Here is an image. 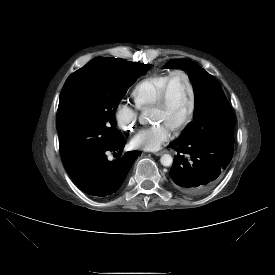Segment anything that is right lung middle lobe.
Wrapping results in <instances>:
<instances>
[{"label":"right lung middle lobe","instance_id":"obj_1","mask_svg":"<svg viewBox=\"0 0 275 275\" xmlns=\"http://www.w3.org/2000/svg\"><path fill=\"white\" fill-rule=\"evenodd\" d=\"M149 65L97 58L71 74L59 99L57 130L64 163L107 150L123 137L115 111L127 89Z\"/></svg>","mask_w":275,"mask_h":275}]
</instances>
